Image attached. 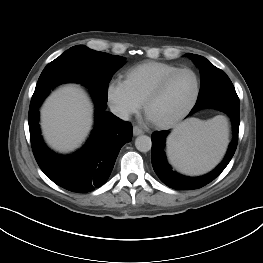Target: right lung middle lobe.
<instances>
[{"label": "right lung middle lobe", "instance_id": "dd1d6c3e", "mask_svg": "<svg viewBox=\"0 0 263 263\" xmlns=\"http://www.w3.org/2000/svg\"><path fill=\"white\" fill-rule=\"evenodd\" d=\"M125 62L121 56L94 51L83 45L74 46L44 68L33 95L39 96L62 83L77 82L106 103L112 75Z\"/></svg>", "mask_w": 263, "mask_h": 263}]
</instances>
